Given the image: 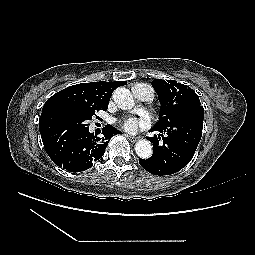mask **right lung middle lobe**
Listing matches in <instances>:
<instances>
[{
  "mask_svg": "<svg viewBox=\"0 0 255 255\" xmlns=\"http://www.w3.org/2000/svg\"><path fill=\"white\" fill-rule=\"evenodd\" d=\"M95 111L55 110L39 121V128L52 131L63 141L69 140L88 129V120L92 119Z\"/></svg>",
  "mask_w": 255,
  "mask_h": 255,
  "instance_id": "obj_1",
  "label": "right lung middle lobe"
}]
</instances>
